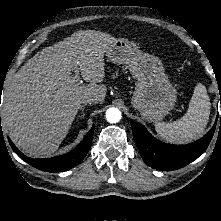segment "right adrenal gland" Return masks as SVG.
<instances>
[{
	"mask_svg": "<svg viewBox=\"0 0 221 221\" xmlns=\"http://www.w3.org/2000/svg\"><path fill=\"white\" fill-rule=\"evenodd\" d=\"M79 109H80V111H81V115H79V117L84 118V117H85V112H84L85 106L82 105V106H80Z\"/></svg>",
	"mask_w": 221,
	"mask_h": 221,
	"instance_id": "1",
	"label": "right adrenal gland"
}]
</instances>
